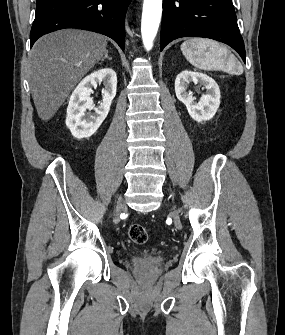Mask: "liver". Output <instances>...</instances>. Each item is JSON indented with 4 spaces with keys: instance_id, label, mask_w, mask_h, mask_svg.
<instances>
[{
    "instance_id": "1",
    "label": "liver",
    "mask_w": 285,
    "mask_h": 335,
    "mask_svg": "<svg viewBox=\"0 0 285 335\" xmlns=\"http://www.w3.org/2000/svg\"><path fill=\"white\" fill-rule=\"evenodd\" d=\"M104 36L59 30L40 38L30 52L29 88L37 114L50 120L76 84L108 54Z\"/></svg>"
}]
</instances>
